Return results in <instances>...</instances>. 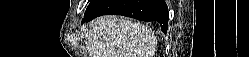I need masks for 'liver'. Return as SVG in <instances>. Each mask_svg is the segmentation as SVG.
Segmentation results:
<instances>
[{
    "mask_svg": "<svg viewBox=\"0 0 249 57\" xmlns=\"http://www.w3.org/2000/svg\"><path fill=\"white\" fill-rule=\"evenodd\" d=\"M86 39L90 57H153L156 51V38L147 25L119 16L89 22Z\"/></svg>",
    "mask_w": 249,
    "mask_h": 57,
    "instance_id": "liver-1",
    "label": "liver"
}]
</instances>
